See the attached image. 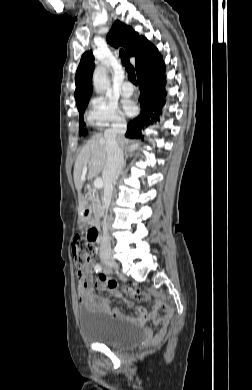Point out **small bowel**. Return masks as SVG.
<instances>
[{
  "label": "small bowel",
  "mask_w": 252,
  "mask_h": 390,
  "mask_svg": "<svg viewBox=\"0 0 252 390\" xmlns=\"http://www.w3.org/2000/svg\"><path fill=\"white\" fill-rule=\"evenodd\" d=\"M94 260L91 259L88 265L81 271L78 272L79 285H78V298L80 303L89 310L101 312L107 314L115 319L128 320L132 322L145 323L149 319H154L155 324L158 327L157 335L150 333L152 337H157L158 335L163 334L169 325L170 319L172 317V309L164 305L165 313L163 316L156 318L158 309L160 308L162 301L158 299L154 305L151 307V311L147 312L139 306H135L132 302L127 300L122 291L118 288L117 283L108 279L105 275H100L96 281H94L92 276V270L95 269ZM94 289L103 291L108 289L115 298L124 302L129 308L134 310V316H126L118 309L111 308V301L108 298L97 296L94 293ZM124 293L130 294L133 297L143 300L150 303L151 297L149 294L133 291L131 289H123Z\"/></svg>",
  "instance_id": "obj_1"
}]
</instances>
